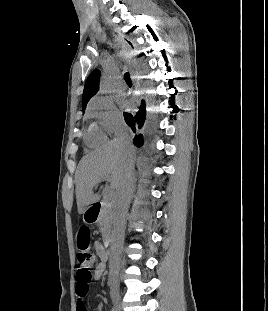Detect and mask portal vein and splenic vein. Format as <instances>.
<instances>
[{
  "label": "portal vein and splenic vein",
  "instance_id": "1",
  "mask_svg": "<svg viewBox=\"0 0 268 311\" xmlns=\"http://www.w3.org/2000/svg\"><path fill=\"white\" fill-rule=\"evenodd\" d=\"M104 180L107 181V182L111 181L110 177H106ZM112 196H114V192L113 191H111V193H110V197H112Z\"/></svg>",
  "mask_w": 268,
  "mask_h": 311
}]
</instances>
